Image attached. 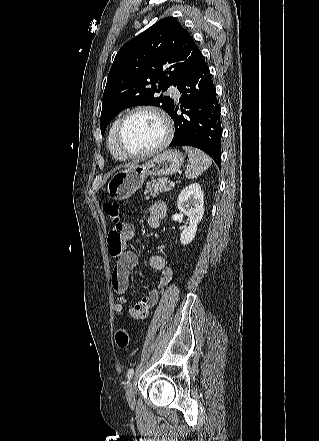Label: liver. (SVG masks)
Returning <instances> with one entry per match:
<instances>
[{
    "instance_id": "1",
    "label": "liver",
    "mask_w": 319,
    "mask_h": 441,
    "mask_svg": "<svg viewBox=\"0 0 319 441\" xmlns=\"http://www.w3.org/2000/svg\"><path fill=\"white\" fill-rule=\"evenodd\" d=\"M131 164H133V163H126V164L123 165L122 167H128V166H130Z\"/></svg>"
}]
</instances>
